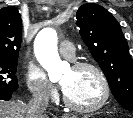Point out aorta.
Wrapping results in <instances>:
<instances>
[{"label":"aorta","mask_w":133,"mask_h":118,"mask_svg":"<svg viewBox=\"0 0 133 118\" xmlns=\"http://www.w3.org/2000/svg\"><path fill=\"white\" fill-rule=\"evenodd\" d=\"M57 33L52 28L41 30L34 43L37 60L48 72L50 80H58L62 72L68 69V64L61 61L57 50Z\"/></svg>","instance_id":"1"}]
</instances>
